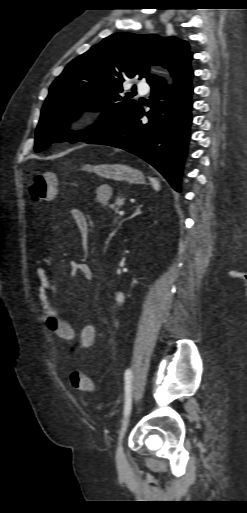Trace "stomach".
<instances>
[{
  "mask_svg": "<svg viewBox=\"0 0 247 513\" xmlns=\"http://www.w3.org/2000/svg\"><path fill=\"white\" fill-rule=\"evenodd\" d=\"M83 169L115 181H127L132 184L145 182L142 172L125 164H87Z\"/></svg>",
  "mask_w": 247,
  "mask_h": 513,
  "instance_id": "1",
  "label": "stomach"
}]
</instances>
